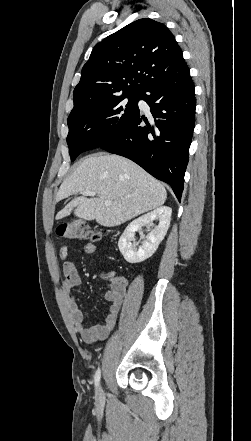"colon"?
Instances as JSON below:
<instances>
[{"label": "colon", "mask_w": 251, "mask_h": 441, "mask_svg": "<svg viewBox=\"0 0 251 441\" xmlns=\"http://www.w3.org/2000/svg\"><path fill=\"white\" fill-rule=\"evenodd\" d=\"M57 234L61 237L68 239H78V240H90V241H99L102 238V233L86 222L80 219H74L65 223L60 224L57 227ZM123 278L111 277L110 281H121Z\"/></svg>", "instance_id": "5ec220e1"}]
</instances>
